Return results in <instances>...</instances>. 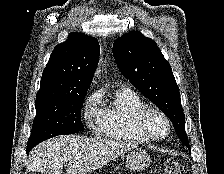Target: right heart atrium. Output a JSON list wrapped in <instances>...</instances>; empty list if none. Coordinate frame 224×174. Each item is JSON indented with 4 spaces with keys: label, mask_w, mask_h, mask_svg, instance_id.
Here are the masks:
<instances>
[{
    "label": "right heart atrium",
    "mask_w": 224,
    "mask_h": 174,
    "mask_svg": "<svg viewBox=\"0 0 224 174\" xmlns=\"http://www.w3.org/2000/svg\"><path fill=\"white\" fill-rule=\"evenodd\" d=\"M100 103L101 94L99 92L90 94L84 103L83 116L89 128L94 129L99 124L101 114Z\"/></svg>",
    "instance_id": "obj_1"
}]
</instances>
